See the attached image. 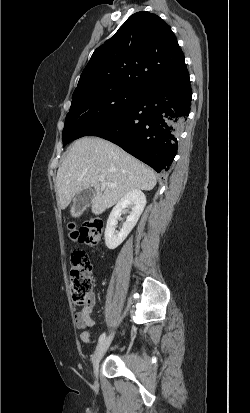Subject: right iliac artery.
<instances>
[{
	"label": "right iliac artery",
	"mask_w": 250,
	"mask_h": 413,
	"mask_svg": "<svg viewBox=\"0 0 250 413\" xmlns=\"http://www.w3.org/2000/svg\"><path fill=\"white\" fill-rule=\"evenodd\" d=\"M105 337H106V333L104 332L100 335L98 342L101 343L105 339Z\"/></svg>",
	"instance_id": "82829eb1"
}]
</instances>
